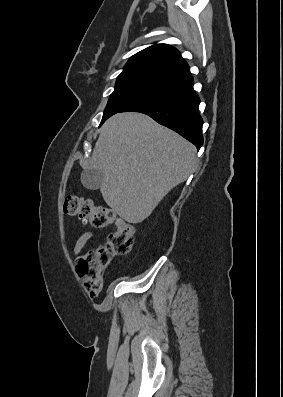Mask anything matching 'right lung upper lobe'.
Wrapping results in <instances>:
<instances>
[{"instance_id": "obj_1", "label": "right lung upper lobe", "mask_w": 283, "mask_h": 397, "mask_svg": "<svg viewBox=\"0 0 283 397\" xmlns=\"http://www.w3.org/2000/svg\"><path fill=\"white\" fill-rule=\"evenodd\" d=\"M132 72H141L168 84L191 76L180 52L167 44H155L133 55L121 74Z\"/></svg>"}]
</instances>
